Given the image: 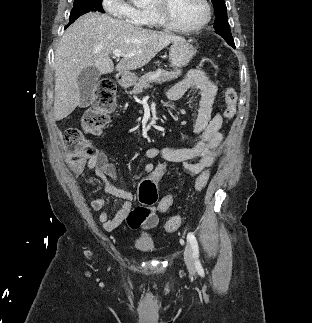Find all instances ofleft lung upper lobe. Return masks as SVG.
<instances>
[{
	"mask_svg": "<svg viewBox=\"0 0 312 323\" xmlns=\"http://www.w3.org/2000/svg\"><path fill=\"white\" fill-rule=\"evenodd\" d=\"M214 5L216 19L214 28L216 33L221 35L232 47H235L227 18V8L224 0H211Z\"/></svg>",
	"mask_w": 312,
	"mask_h": 323,
	"instance_id": "obj_1",
	"label": "left lung upper lobe"
}]
</instances>
